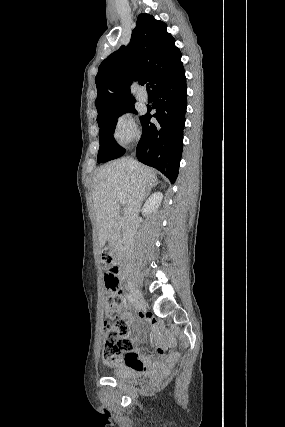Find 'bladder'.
Returning <instances> with one entry per match:
<instances>
[{"instance_id":"bladder-1","label":"bladder","mask_w":285,"mask_h":427,"mask_svg":"<svg viewBox=\"0 0 285 427\" xmlns=\"http://www.w3.org/2000/svg\"><path fill=\"white\" fill-rule=\"evenodd\" d=\"M147 372L134 366H121L114 370L111 377L122 381H139L147 377Z\"/></svg>"}]
</instances>
